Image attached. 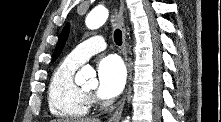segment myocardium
Wrapping results in <instances>:
<instances>
[{"label": "myocardium", "mask_w": 221, "mask_h": 122, "mask_svg": "<svg viewBox=\"0 0 221 122\" xmlns=\"http://www.w3.org/2000/svg\"><path fill=\"white\" fill-rule=\"evenodd\" d=\"M83 93L90 99L92 97L90 91H87L85 89H82Z\"/></svg>", "instance_id": "1"}]
</instances>
